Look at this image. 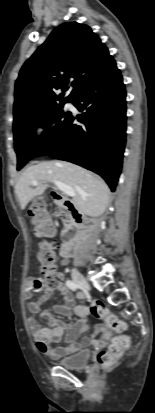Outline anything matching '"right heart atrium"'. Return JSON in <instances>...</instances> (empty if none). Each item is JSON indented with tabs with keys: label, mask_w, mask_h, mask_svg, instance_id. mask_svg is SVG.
<instances>
[{
	"label": "right heart atrium",
	"mask_w": 155,
	"mask_h": 413,
	"mask_svg": "<svg viewBox=\"0 0 155 413\" xmlns=\"http://www.w3.org/2000/svg\"><path fill=\"white\" fill-rule=\"evenodd\" d=\"M33 132L37 137H41L46 130L45 124L41 121H37L32 126Z\"/></svg>",
	"instance_id": "d8ad5b80"
}]
</instances>
